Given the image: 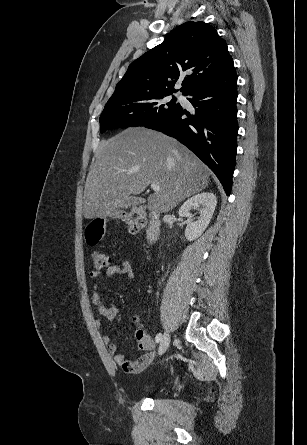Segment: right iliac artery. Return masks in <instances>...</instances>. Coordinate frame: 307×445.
Wrapping results in <instances>:
<instances>
[{"label":"right iliac artery","mask_w":307,"mask_h":445,"mask_svg":"<svg viewBox=\"0 0 307 445\" xmlns=\"http://www.w3.org/2000/svg\"><path fill=\"white\" fill-rule=\"evenodd\" d=\"M161 339H162V334L158 333L155 337L156 342L159 343L161 341Z\"/></svg>","instance_id":"1"}]
</instances>
